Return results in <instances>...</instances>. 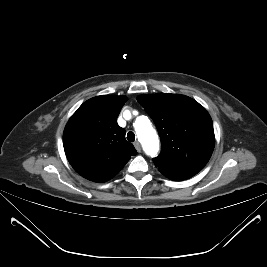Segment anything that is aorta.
Wrapping results in <instances>:
<instances>
[{
    "label": "aorta",
    "mask_w": 267,
    "mask_h": 267,
    "mask_svg": "<svg viewBox=\"0 0 267 267\" xmlns=\"http://www.w3.org/2000/svg\"><path fill=\"white\" fill-rule=\"evenodd\" d=\"M133 126L145 153L151 157L156 156L159 150V140L148 117H137Z\"/></svg>",
    "instance_id": "aorta-1"
}]
</instances>
